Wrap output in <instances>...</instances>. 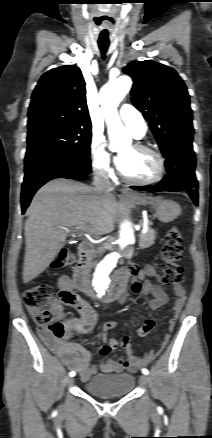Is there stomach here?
Instances as JSON below:
<instances>
[{"label": "stomach", "instance_id": "1", "mask_svg": "<svg viewBox=\"0 0 212 438\" xmlns=\"http://www.w3.org/2000/svg\"><path fill=\"white\" fill-rule=\"evenodd\" d=\"M128 201L139 205H151L155 211V216L165 223L173 221L181 213L179 204L171 200H164L161 197L135 195L130 197Z\"/></svg>", "mask_w": 212, "mask_h": 438}]
</instances>
